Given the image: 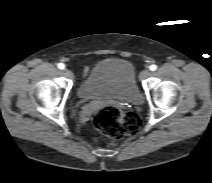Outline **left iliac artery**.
<instances>
[{"label": "left iliac artery", "instance_id": "1", "mask_svg": "<svg viewBox=\"0 0 212 183\" xmlns=\"http://www.w3.org/2000/svg\"><path fill=\"white\" fill-rule=\"evenodd\" d=\"M149 68H150L151 71H154V70L157 69V66L153 64V65H151Z\"/></svg>", "mask_w": 212, "mask_h": 183}]
</instances>
